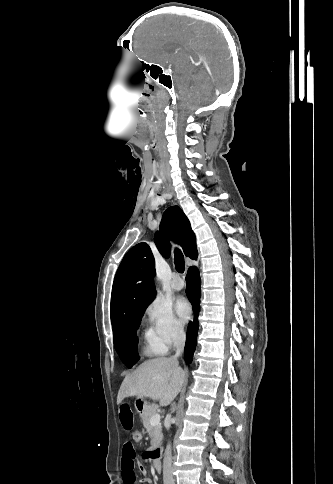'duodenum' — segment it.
<instances>
[{"label": "duodenum", "instance_id": "obj_1", "mask_svg": "<svg viewBox=\"0 0 333 484\" xmlns=\"http://www.w3.org/2000/svg\"><path fill=\"white\" fill-rule=\"evenodd\" d=\"M152 462H153L154 469L157 472H160L161 469H162V464H161V451H160V449H155L152 452Z\"/></svg>", "mask_w": 333, "mask_h": 484}]
</instances>
